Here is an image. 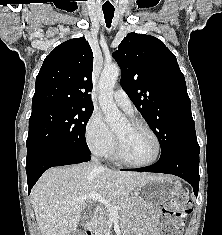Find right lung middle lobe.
<instances>
[{
	"mask_svg": "<svg viewBox=\"0 0 222 235\" xmlns=\"http://www.w3.org/2000/svg\"><path fill=\"white\" fill-rule=\"evenodd\" d=\"M92 112L93 109L54 105L31 114L26 141L27 163L56 150L89 153L85 130Z\"/></svg>",
	"mask_w": 222,
	"mask_h": 235,
	"instance_id": "1",
	"label": "right lung middle lobe"
}]
</instances>
